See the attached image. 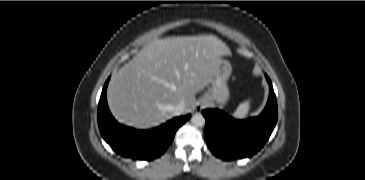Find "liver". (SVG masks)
I'll return each instance as SVG.
<instances>
[{
    "label": "liver",
    "mask_w": 365,
    "mask_h": 180,
    "mask_svg": "<svg viewBox=\"0 0 365 180\" xmlns=\"http://www.w3.org/2000/svg\"><path fill=\"white\" fill-rule=\"evenodd\" d=\"M230 55L215 35L181 36L148 43L111 78L107 99L114 117L137 128L157 126L195 107V94L211 83L222 56Z\"/></svg>",
    "instance_id": "6515ba94"
}]
</instances>
